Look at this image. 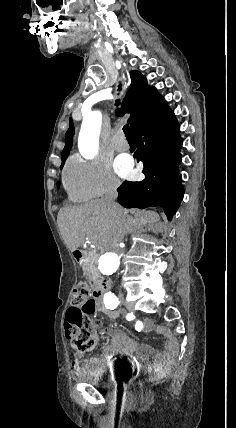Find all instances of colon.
I'll use <instances>...</instances> for the list:
<instances>
[{"label":"colon","instance_id":"1","mask_svg":"<svg viewBox=\"0 0 236 428\" xmlns=\"http://www.w3.org/2000/svg\"><path fill=\"white\" fill-rule=\"evenodd\" d=\"M97 301L90 295L86 282H78L71 295V306L67 310L64 330L71 347L77 352H88L97 343L95 326L90 316L97 310Z\"/></svg>","mask_w":236,"mask_h":428}]
</instances>
